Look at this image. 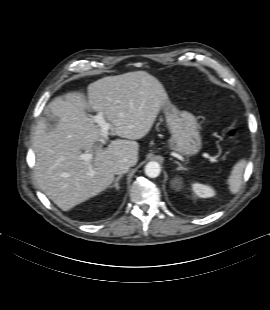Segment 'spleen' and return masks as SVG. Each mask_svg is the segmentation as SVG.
<instances>
[{"instance_id": "3e777b00", "label": "spleen", "mask_w": 270, "mask_h": 310, "mask_svg": "<svg viewBox=\"0 0 270 310\" xmlns=\"http://www.w3.org/2000/svg\"><path fill=\"white\" fill-rule=\"evenodd\" d=\"M246 165V160L242 159L233 166L231 175L229 176L227 181L229 184V189L233 194L237 193L240 189L242 183V174Z\"/></svg>"}]
</instances>
